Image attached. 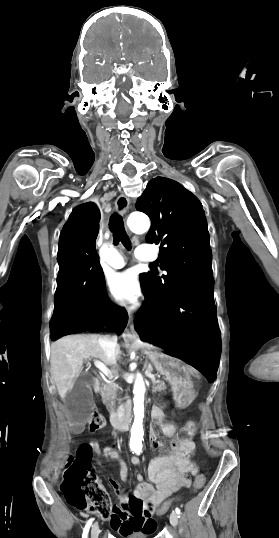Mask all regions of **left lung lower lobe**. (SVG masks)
Wrapping results in <instances>:
<instances>
[{
    "instance_id": "obj_1",
    "label": "left lung lower lobe",
    "mask_w": 279,
    "mask_h": 538,
    "mask_svg": "<svg viewBox=\"0 0 279 538\" xmlns=\"http://www.w3.org/2000/svg\"><path fill=\"white\" fill-rule=\"evenodd\" d=\"M213 292V277L198 280L175 292L158 311L140 310L134 322L143 340L187 360L210 382L221 351Z\"/></svg>"
}]
</instances>
